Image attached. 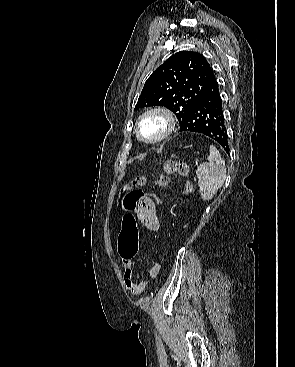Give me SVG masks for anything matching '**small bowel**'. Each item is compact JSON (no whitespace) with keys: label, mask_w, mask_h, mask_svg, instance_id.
<instances>
[{"label":"small bowel","mask_w":295,"mask_h":367,"mask_svg":"<svg viewBox=\"0 0 295 367\" xmlns=\"http://www.w3.org/2000/svg\"><path fill=\"white\" fill-rule=\"evenodd\" d=\"M152 199L149 195H143L138 203V217L141 221L142 225L150 231H157L160 227L158 212L156 209V205H154ZM118 252L121 258V263L123 266V277L124 282L127 289L131 292V294L135 296L141 295L148 287L147 282H135L133 280V263L132 259L135 255H125L121 250V245L119 241ZM160 267L159 265L155 267L154 265L151 267L149 274L152 278H155L159 274Z\"/></svg>","instance_id":"small-bowel-1"}]
</instances>
